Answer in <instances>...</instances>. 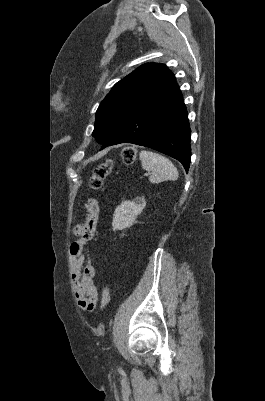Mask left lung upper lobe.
Instances as JSON below:
<instances>
[{
  "label": "left lung upper lobe",
  "instance_id": "1",
  "mask_svg": "<svg viewBox=\"0 0 265 401\" xmlns=\"http://www.w3.org/2000/svg\"><path fill=\"white\" fill-rule=\"evenodd\" d=\"M176 82L173 73L163 64L147 63L117 82L100 103L92 135L105 143L146 104Z\"/></svg>",
  "mask_w": 265,
  "mask_h": 401
}]
</instances>
